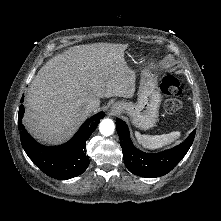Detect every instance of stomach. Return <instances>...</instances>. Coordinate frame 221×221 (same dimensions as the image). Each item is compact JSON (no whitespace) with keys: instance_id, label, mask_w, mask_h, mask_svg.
<instances>
[{"instance_id":"1","label":"stomach","mask_w":221,"mask_h":221,"mask_svg":"<svg viewBox=\"0 0 221 221\" xmlns=\"http://www.w3.org/2000/svg\"><path fill=\"white\" fill-rule=\"evenodd\" d=\"M129 57L135 61L133 55ZM161 100L157 78L148 68H143L137 102L120 101L115 108L119 113H126L134 126L147 130L154 127L158 120Z\"/></svg>"}]
</instances>
